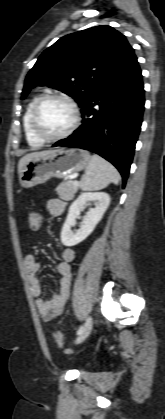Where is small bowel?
<instances>
[{
  "mask_svg": "<svg viewBox=\"0 0 165 419\" xmlns=\"http://www.w3.org/2000/svg\"><path fill=\"white\" fill-rule=\"evenodd\" d=\"M65 209L63 201L51 199L46 204V211L51 217L60 216ZM75 252L70 247H64L61 251V260L57 264V272L61 276L59 291L49 299L42 298V285L38 274L41 264L34 254L25 256L24 264L29 279L30 289L35 298V306L45 322H51L63 311L69 298L72 283L71 262L74 260Z\"/></svg>",
  "mask_w": 165,
  "mask_h": 419,
  "instance_id": "c3829d8e",
  "label": "small bowel"
}]
</instances>
